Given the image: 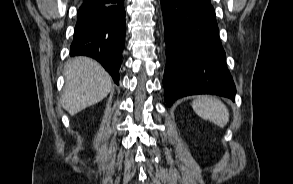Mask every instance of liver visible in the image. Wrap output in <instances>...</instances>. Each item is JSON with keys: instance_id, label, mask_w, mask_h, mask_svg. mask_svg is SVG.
Listing matches in <instances>:
<instances>
[{"instance_id": "1", "label": "liver", "mask_w": 293, "mask_h": 184, "mask_svg": "<svg viewBox=\"0 0 293 184\" xmlns=\"http://www.w3.org/2000/svg\"><path fill=\"white\" fill-rule=\"evenodd\" d=\"M66 78L61 103L70 115L103 100L111 90L112 79L95 60L76 57L65 66Z\"/></svg>"}]
</instances>
